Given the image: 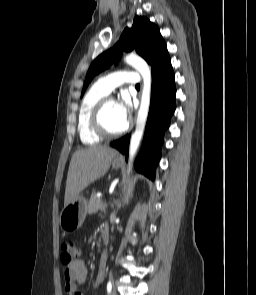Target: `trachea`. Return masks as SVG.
<instances>
[{
	"label": "trachea",
	"mask_w": 256,
	"mask_h": 295,
	"mask_svg": "<svg viewBox=\"0 0 256 295\" xmlns=\"http://www.w3.org/2000/svg\"><path fill=\"white\" fill-rule=\"evenodd\" d=\"M136 88H140V84H137V85H136Z\"/></svg>",
	"instance_id": "obj_1"
}]
</instances>
